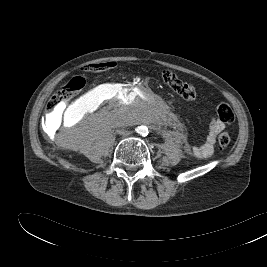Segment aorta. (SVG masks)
<instances>
[{
	"mask_svg": "<svg viewBox=\"0 0 267 267\" xmlns=\"http://www.w3.org/2000/svg\"><path fill=\"white\" fill-rule=\"evenodd\" d=\"M139 133H140V134H145V133H146V130H145L144 128H141V129L139 130Z\"/></svg>",
	"mask_w": 267,
	"mask_h": 267,
	"instance_id": "1",
	"label": "aorta"
}]
</instances>
